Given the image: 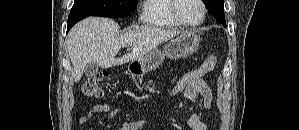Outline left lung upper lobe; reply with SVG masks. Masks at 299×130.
<instances>
[{"instance_id":"left-lung-upper-lobe-1","label":"left lung upper lobe","mask_w":299,"mask_h":130,"mask_svg":"<svg viewBox=\"0 0 299 130\" xmlns=\"http://www.w3.org/2000/svg\"><path fill=\"white\" fill-rule=\"evenodd\" d=\"M203 2L210 14L214 16L218 22L226 24L223 0H203Z\"/></svg>"}]
</instances>
